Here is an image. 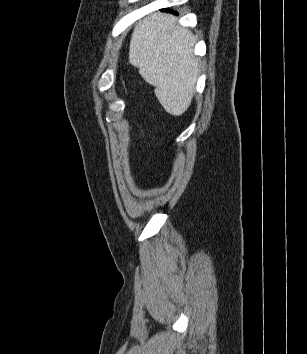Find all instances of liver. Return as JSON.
<instances>
[{
  "instance_id": "liver-1",
  "label": "liver",
  "mask_w": 307,
  "mask_h": 354,
  "mask_svg": "<svg viewBox=\"0 0 307 354\" xmlns=\"http://www.w3.org/2000/svg\"><path fill=\"white\" fill-rule=\"evenodd\" d=\"M195 43L192 32L180 27L176 17L160 12L139 21L131 36L129 62L174 116L189 108L195 92L200 73Z\"/></svg>"
}]
</instances>
